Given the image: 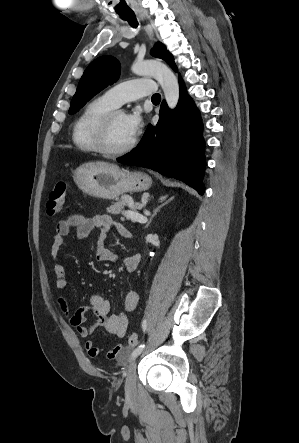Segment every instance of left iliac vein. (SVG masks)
Returning <instances> with one entry per match:
<instances>
[{
	"instance_id": "1",
	"label": "left iliac vein",
	"mask_w": 299,
	"mask_h": 443,
	"mask_svg": "<svg viewBox=\"0 0 299 443\" xmlns=\"http://www.w3.org/2000/svg\"><path fill=\"white\" fill-rule=\"evenodd\" d=\"M136 365L137 361L134 359L127 370V377L125 381V393L127 398H133L136 394Z\"/></svg>"
}]
</instances>
